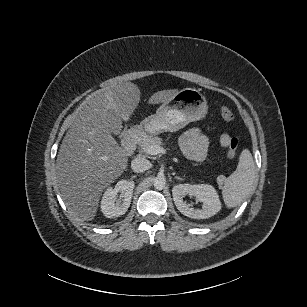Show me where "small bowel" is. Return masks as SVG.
Segmentation results:
<instances>
[{
	"label": "small bowel",
	"mask_w": 307,
	"mask_h": 307,
	"mask_svg": "<svg viewBox=\"0 0 307 307\" xmlns=\"http://www.w3.org/2000/svg\"><path fill=\"white\" fill-rule=\"evenodd\" d=\"M231 136L224 133L220 137L223 148L229 146ZM183 154L195 162H203L207 157L208 138L199 128H191L183 133L179 139Z\"/></svg>",
	"instance_id": "c3829d8e"
}]
</instances>
